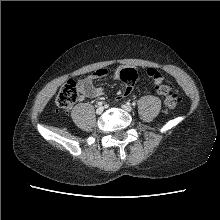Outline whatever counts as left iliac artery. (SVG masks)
<instances>
[{
	"label": "left iliac artery",
	"mask_w": 220,
	"mask_h": 220,
	"mask_svg": "<svg viewBox=\"0 0 220 220\" xmlns=\"http://www.w3.org/2000/svg\"><path fill=\"white\" fill-rule=\"evenodd\" d=\"M132 105L135 106V105H136V102H133Z\"/></svg>",
	"instance_id": "44dca946"
}]
</instances>
